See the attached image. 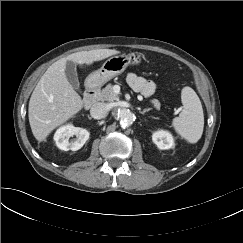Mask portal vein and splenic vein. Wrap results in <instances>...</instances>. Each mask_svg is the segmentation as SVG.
I'll use <instances>...</instances> for the list:
<instances>
[{"label": "portal vein and splenic vein", "mask_w": 243, "mask_h": 243, "mask_svg": "<svg viewBox=\"0 0 243 243\" xmlns=\"http://www.w3.org/2000/svg\"><path fill=\"white\" fill-rule=\"evenodd\" d=\"M120 91V88L118 86H115L114 87V93L118 94Z\"/></svg>", "instance_id": "18ae733b"}]
</instances>
